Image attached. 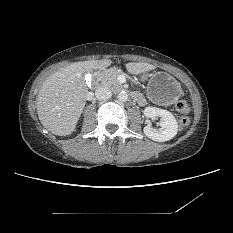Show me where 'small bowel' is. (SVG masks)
<instances>
[{
	"mask_svg": "<svg viewBox=\"0 0 233 233\" xmlns=\"http://www.w3.org/2000/svg\"><path fill=\"white\" fill-rule=\"evenodd\" d=\"M136 95H137V97H135V98L137 99V101H138L140 104H143V102H144L143 98H142L140 95H138V94H136Z\"/></svg>",
	"mask_w": 233,
	"mask_h": 233,
	"instance_id": "1",
	"label": "small bowel"
}]
</instances>
